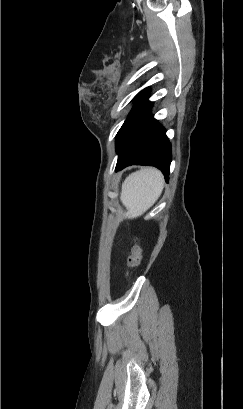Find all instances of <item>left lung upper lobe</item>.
<instances>
[{"label":"left lung upper lobe","instance_id":"5c2ea615","mask_svg":"<svg viewBox=\"0 0 243 409\" xmlns=\"http://www.w3.org/2000/svg\"><path fill=\"white\" fill-rule=\"evenodd\" d=\"M116 150H117V152H118V146H117V144H116Z\"/></svg>","mask_w":243,"mask_h":409}]
</instances>
